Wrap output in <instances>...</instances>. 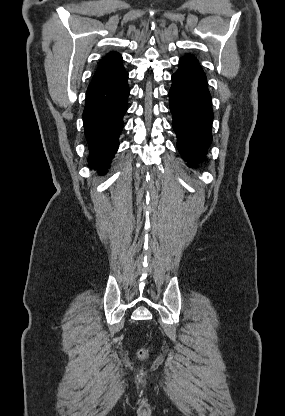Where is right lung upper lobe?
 <instances>
[{
    "instance_id": "right-lung-upper-lobe-1",
    "label": "right lung upper lobe",
    "mask_w": 285,
    "mask_h": 416,
    "mask_svg": "<svg viewBox=\"0 0 285 416\" xmlns=\"http://www.w3.org/2000/svg\"><path fill=\"white\" fill-rule=\"evenodd\" d=\"M125 72L121 55L117 52H110L102 59L88 89L109 83Z\"/></svg>"
}]
</instances>
